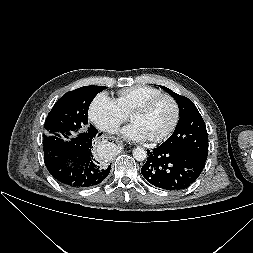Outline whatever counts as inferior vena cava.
I'll list each match as a JSON object with an SVG mask.
<instances>
[{
	"label": "inferior vena cava",
	"mask_w": 253,
	"mask_h": 253,
	"mask_svg": "<svg viewBox=\"0 0 253 253\" xmlns=\"http://www.w3.org/2000/svg\"><path fill=\"white\" fill-rule=\"evenodd\" d=\"M119 127H120V126H119L118 124H112V125L108 126L107 131H108L109 133H111V134H116V133H118L119 130H120Z\"/></svg>",
	"instance_id": "inferior-vena-cava-1"
}]
</instances>
